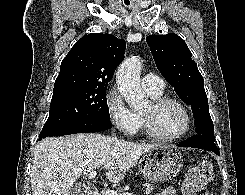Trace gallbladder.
<instances>
[{"instance_id":"obj_1","label":"gallbladder","mask_w":245,"mask_h":195,"mask_svg":"<svg viewBox=\"0 0 245 195\" xmlns=\"http://www.w3.org/2000/svg\"><path fill=\"white\" fill-rule=\"evenodd\" d=\"M71 193V195H87V190L81 183H76L71 188Z\"/></svg>"}]
</instances>
